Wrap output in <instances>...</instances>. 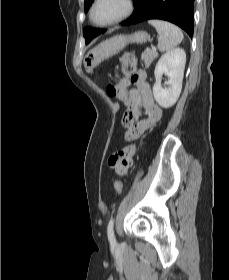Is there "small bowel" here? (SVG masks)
I'll return each mask as SVG.
<instances>
[{
	"label": "small bowel",
	"instance_id": "c3829d8e",
	"mask_svg": "<svg viewBox=\"0 0 229 280\" xmlns=\"http://www.w3.org/2000/svg\"><path fill=\"white\" fill-rule=\"evenodd\" d=\"M129 82L123 81L119 86H108L107 93L115 96L128 106L125 116L131 118L130 126L126 131L127 139H134L153 126L162 117V108L155 102L150 85L142 80L136 88L128 90ZM140 115L146 118L138 120Z\"/></svg>",
	"mask_w": 229,
	"mask_h": 280
}]
</instances>
